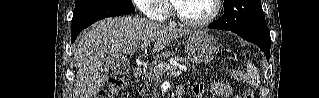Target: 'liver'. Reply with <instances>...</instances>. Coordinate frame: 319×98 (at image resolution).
<instances>
[{
  "mask_svg": "<svg viewBox=\"0 0 319 98\" xmlns=\"http://www.w3.org/2000/svg\"><path fill=\"white\" fill-rule=\"evenodd\" d=\"M194 32L140 16L106 18L93 24L74 43L76 77L73 98H96L108 79L101 68L102 58L132 53L140 44L151 40H156L153 52H159L172 40Z\"/></svg>",
  "mask_w": 319,
  "mask_h": 98,
  "instance_id": "1",
  "label": "liver"
}]
</instances>
